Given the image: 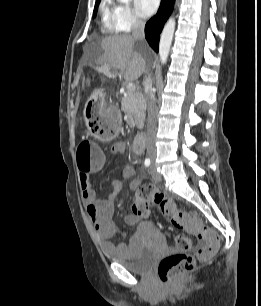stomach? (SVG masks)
Here are the masks:
<instances>
[{"mask_svg":"<svg viewBox=\"0 0 261 306\" xmlns=\"http://www.w3.org/2000/svg\"><path fill=\"white\" fill-rule=\"evenodd\" d=\"M104 98L105 96L101 91L94 93L86 102L83 112L84 120L88 128L94 132L95 136H98V131L94 130L95 127L109 118Z\"/></svg>","mask_w":261,"mask_h":306,"instance_id":"obj_1","label":"stomach"}]
</instances>
